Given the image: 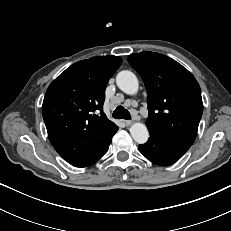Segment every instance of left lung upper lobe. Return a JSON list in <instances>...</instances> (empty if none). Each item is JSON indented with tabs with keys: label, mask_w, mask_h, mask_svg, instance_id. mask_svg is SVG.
Instances as JSON below:
<instances>
[{
	"label": "left lung upper lobe",
	"mask_w": 231,
	"mask_h": 231,
	"mask_svg": "<svg viewBox=\"0 0 231 231\" xmlns=\"http://www.w3.org/2000/svg\"><path fill=\"white\" fill-rule=\"evenodd\" d=\"M128 61L148 92V130L190 148L203 112L194 76L175 60L155 52L131 54Z\"/></svg>",
	"instance_id": "5c2ea615"
}]
</instances>
